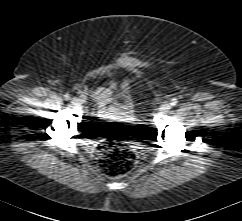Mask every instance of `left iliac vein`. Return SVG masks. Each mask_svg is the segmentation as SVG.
I'll list each match as a JSON object with an SVG mask.
<instances>
[{"label":"left iliac vein","instance_id":"4c4485c4","mask_svg":"<svg viewBox=\"0 0 242 221\" xmlns=\"http://www.w3.org/2000/svg\"><path fill=\"white\" fill-rule=\"evenodd\" d=\"M169 108H170V105H169V104H163V105L159 108V111H160V112H166Z\"/></svg>","mask_w":242,"mask_h":221}]
</instances>
